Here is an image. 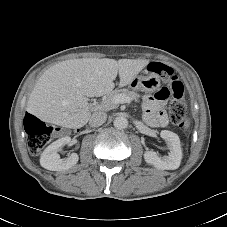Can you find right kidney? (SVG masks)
<instances>
[{"mask_svg":"<svg viewBox=\"0 0 227 227\" xmlns=\"http://www.w3.org/2000/svg\"><path fill=\"white\" fill-rule=\"evenodd\" d=\"M70 143L71 138L69 136L60 138L51 143L41 154L40 165L51 171H62L73 167L77 164L79 159L76 153H72L70 156L63 159H61L58 154L60 148Z\"/></svg>","mask_w":227,"mask_h":227,"instance_id":"1","label":"right kidney"}]
</instances>
